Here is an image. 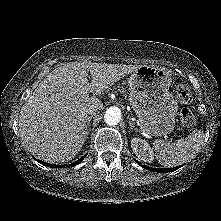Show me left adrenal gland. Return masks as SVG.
<instances>
[{
  "label": "left adrenal gland",
  "mask_w": 221,
  "mask_h": 221,
  "mask_svg": "<svg viewBox=\"0 0 221 221\" xmlns=\"http://www.w3.org/2000/svg\"><path fill=\"white\" fill-rule=\"evenodd\" d=\"M128 119H129L130 129H131V130H135V132H137V129L135 128L134 123L131 121V118H130L129 116H128Z\"/></svg>",
  "instance_id": "a2214340"
}]
</instances>
